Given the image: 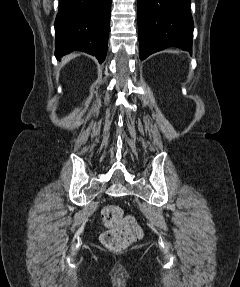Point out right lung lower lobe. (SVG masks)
<instances>
[{
	"label": "right lung lower lobe",
	"mask_w": 240,
	"mask_h": 287,
	"mask_svg": "<svg viewBox=\"0 0 240 287\" xmlns=\"http://www.w3.org/2000/svg\"><path fill=\"white\" fill-rule=\"evenodd\" d=\"M111 0H60L55 20V55L74 50L103 62L107 53Z\"/></svg>",
	"instance_id": "right-lung-lower-lobe-1"
}]
</instances>
